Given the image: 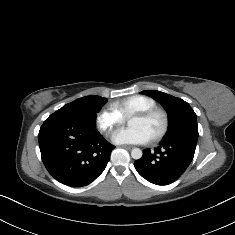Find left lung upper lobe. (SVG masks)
<instances>
[{
  "label": "left lung upper lobe",
  "mask_w": 235,
  "mask_h": 235,
  "mask_svg": "<svg viewBox=\"0 0 235 235\" xmlns=\"http://www.w3.org/2000/svg\"><path fill=\"white\" fill-rule=\"evenodd\" d=\"M141 93L157 100L168 113V130L162 141L186 140L197 143V116L187 102L156 90H145Z\"/></svg>",
  "instance_id": "1"
}]
</instances>
